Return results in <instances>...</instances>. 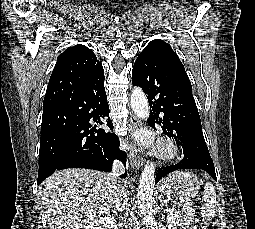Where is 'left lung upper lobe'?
<instances>
[{
	"instance_id": "5c2ea615",
	"label": "left lung upper lobe",
	"mask_w": 255,
	"mask_h": 229,
	"mask_svg": "<svg viewBox=\"0 0 255 229\" xmlns=\"http://www.w3.org/2000/svg\"><path fill=\"white\" fill-rule=\"evenodd\" d=\"M162 56H172L179 60L177 54L172 50L171 46L160 40H152L138 56V58H153V57H162Z\"/></svg>"
}]
</instances>
